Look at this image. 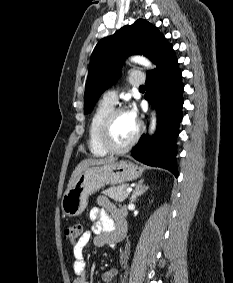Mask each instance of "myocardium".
<instances>
[{
  "label": "myocardium",
  "instance_id": "f54148a6",
  "mask_svg": "<svg viewBox=\"0 0 233 283\" xmlns=\"http://www.w3.org/2000/svg\"><path fill=\"white\" fill-rule=\"evenodd\" d=\"M123 112H127L125 108L118 107L113 108L108 115L106 116L105 120L103 121L100 131H99V142L102 148L111 154H122L129 151L138 141L141 133V126L137 123L136 132L132 139L122 147L114 146L110 141V132L113 125L115 118Z\"/></svg>",
  "mask_w": 233,
  "mask_h": 283
}]
</instances>
